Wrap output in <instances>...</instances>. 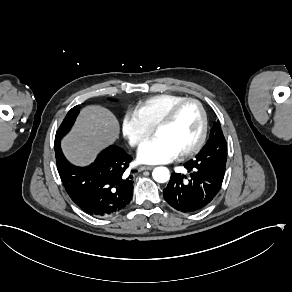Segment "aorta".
Wrapping results in <instances>:
<instances>
[{
  "label": "aorta",
  "mask_w": 292,
  "mask_h": 292,
  "mask_svg": "<svg viewBox=\"0 0 292 292\" xmlns=\"http://www.w3.org/2000/svg\"><path fill=\"white\" fill-rule=\"evenodd\" d=\"M152 177L158 183H165L170 178L169 170L166 167H157L153 170Z\"/></svg>",
  "instance_id": "762f6f07"
}]
</instances>
